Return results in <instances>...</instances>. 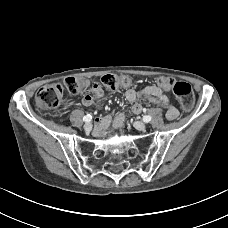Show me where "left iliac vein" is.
<instances>
[{"label": "left iliac vein", "mask_w": 228, "mask_h": 228, "mask_svg": "<svg viewBox=\"0 0 228 228\" xmlns=\"http://www.w3.org/2000/svg\"><path fill=\"white\" fill-rule=\"evenodd\" d=\"M134 127L137 129V130H140V131H144L146 129V124L143 123V122H135L134 123Z\"/></svg>", "instance_id": "4c4485c4"}]
</instances>
